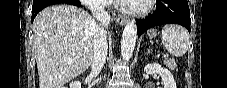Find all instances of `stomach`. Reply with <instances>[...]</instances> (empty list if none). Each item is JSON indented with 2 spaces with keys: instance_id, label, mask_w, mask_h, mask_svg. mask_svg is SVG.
<instances>
[{
  "instance_id": "stomach-1",
  "label": "stomach",
  "mask_w": 227,
  "mask_h": 88,
  "mask_svg": "<svg viewBox=\"0 0 227 88\" xmlns=\"http://www.w3.org/2000/svg\"><path fill=\"white\" fill-rule=\"evenodd\" d=\"M148 35L150 38L156 37V35H157L156 30H154V29L149 30Z\"/></svg>"
}]
</instances>
